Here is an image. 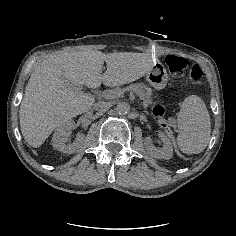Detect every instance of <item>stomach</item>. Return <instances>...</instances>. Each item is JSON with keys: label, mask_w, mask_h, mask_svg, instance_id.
<instances>
[{"label": "stomach", "mask_w": 236, "mask_h": 236, "mask_svg": "<svg viewBox=\"0 0 236 236\" xmlns=\"http://www.w3.org/2000/svg\"><path fill=\"white\" fill-rule=\"evenodd\" d=\"M146 80L155 89H163L168 81L167 71L162 65L156 64L147 74Z\"/></svg>", "instance_id": "stomach-1"}]
</instances>
